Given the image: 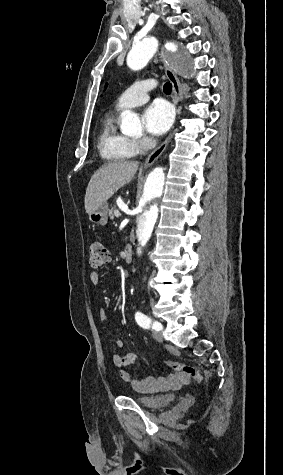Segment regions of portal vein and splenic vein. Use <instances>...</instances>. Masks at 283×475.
Segmentation results:
<instances>
[{"label": "portal vein and splenic vein", "instance_id": "18ae733b", "mask_svg": "<svg viewBox=\"0 0 283 475\" xmlns=\"http://www.w3.org/2000/svg\"><path fill=\"white\" fill-rule=\"evenodd\" d=\"M114 214H115V216H120L118 210H115Z\"/></svg>", "mask_w": 283, "mask_h": 475}]
</instances>
